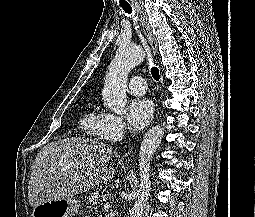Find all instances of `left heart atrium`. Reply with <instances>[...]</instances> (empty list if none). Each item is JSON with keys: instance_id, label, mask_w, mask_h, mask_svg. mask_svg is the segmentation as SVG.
<instances>
[{"instance_id": "1", "label": "left heart atrium", "mask_w": 255, "mask_h": 217, "mask_svg": "<svg viewBox=\"0 0 255 217\" xmlns=\"http://www.w3.org/2000/svg\"><path fill=\"white\" fill-rule=\"evenodd\" d=\"M153 114V104L149 99H133L128 105V123L134 132L143 129L150 121Z\"/></svg>"}]
</instances>
